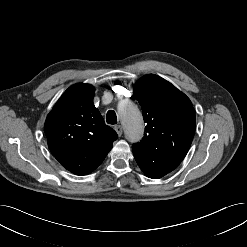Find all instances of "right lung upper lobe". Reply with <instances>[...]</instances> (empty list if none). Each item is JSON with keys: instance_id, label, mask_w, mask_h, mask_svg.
<instances>
[{"instance_id": "1", "label": "right lung upper lobe", "mask_w": 247, "mask_h": 247, "mask_svg": "<svg viewBox=\"0 0 247 247\" xmlns=\"http://www.w3.org/2000/svg\"><path fill=\"white\" fill-rule=\"evenodd\" d=\"M89 84L69 87L45 121L48 146L54 157L76 175H86L105 159L117 139L94 106Z\"/></svg>"}]
</instances>
